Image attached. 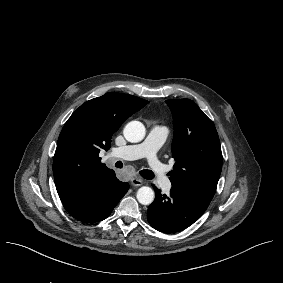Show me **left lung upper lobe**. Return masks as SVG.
<instances>
[{
  "mask_svg": "<svg viewBox=\"0 0 283 283\" xmlns=\"http://www.w3.org/2000/svg\"><path fill=\"white\" fill-rule=\"evenodd\" d=\"M173 114L171 151L175 164L169 172L173 186L210 203L222 169V152L214 123L189 99L166 100Z\"/></svg>",
  "mask_w": 283,
  "mask_h": 283,
  "instance_id": "5c2ea615",
  "label": "left lung upper lobe"
}]
</instances>
